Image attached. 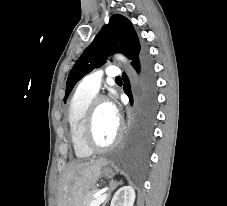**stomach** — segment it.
Wrapping results in <instances>:
<instances>
[{
	"label": "stomach",
	"mask_w": 227,
	"mask_h": 206,
	"mask_svg": "<svg viewBox=\"0 0 227 206\" xmlns=\"http://www.w3.org/2000/svg\"><path fill=\"white\" fill-rule=\"evenodd\" d=\"M101 175L106 178H112L115 175V172L113 169L108 165V162L106 161L104 165L102 166Z\"/></svg>",
	"instance_id": "stomach-1"
}]
</instances>
